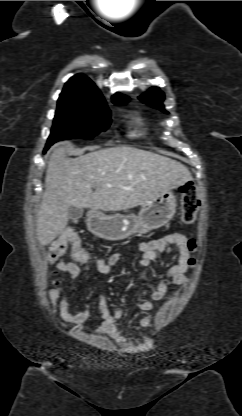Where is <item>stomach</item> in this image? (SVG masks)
I'll return each mask as SVG.
<instances>
[{
  "label": "stomach",
  "instance_id": "1",
  "mask_svg": "<svg viewBox=\"0 0 242 416\" xmlns=\"http://www.w3.org/2000/svg\"><path fill=\"white\" fill-rule=\"evenodd\" d=\"M176 202V196L168 190L147 203L138 215H105L91 211L87 215V228L102 239L123 240L134 233H145L167 224L176 212Z\"/></svg>",
  "mask_w": 242,
  "mask_h": 416
}]
</instances>
